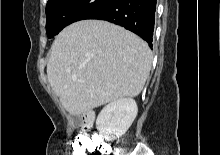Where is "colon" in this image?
Here are the masks:
<instances>
[{"instance_id": "5ec220e1", "label": "colon", "mask_w": 220, "mask_h": 155, "mask_svg": "<svg viewBox=\"0 0 220 155\" xmlns=\"http://www.w3.org/2000/svg\"><path fill=\"white\" fill-rule=\"evenodd\" d=\"M73 144L74 155H111L108 144L96 143L91 138L77 137Z\"/></svg>"}]
</instances>
